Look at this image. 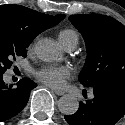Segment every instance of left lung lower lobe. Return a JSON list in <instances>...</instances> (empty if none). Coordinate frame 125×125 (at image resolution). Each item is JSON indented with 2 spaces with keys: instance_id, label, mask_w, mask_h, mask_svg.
Segmentation results:
<instances>
[{
  "instance_id": "left-lung-lower-lobe-1",
  "label": "left lung lower lobe",
  "mask_w": 125,
  "mask_h": 125,
  "mask_svg": "<svg viewBox=\"0 0 125 125\" xmlns=\"http://www.w3.org/2000/svg\"><path fill=\"white\" fill-rule=\"evenodd\" d=\"M93 89L92 100L80 102L75 114L64 116L70 125H114L125 115V83H101Z\"/></svg>"
}]
</instances>
